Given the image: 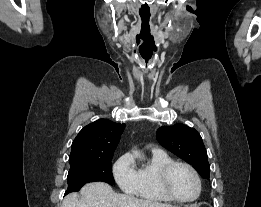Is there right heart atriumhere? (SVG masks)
Wrapping results in <instances>:
<instances>
[{"mask_svg":"<svg viewBox=\"0 0 261 207\" xmlns=\"http://www.w3.org/2000/svg\"><path fill=\"white\" fill-rule=\"evenodd\" d=\"M113 176L123 192L136 194L139 176L130 154H123L117 159L113 165Z\"/></svg>","mask_w":261,"mask_h":207,"instance_id":"obj_1","label":"right heart atrium"}]
</instances>
